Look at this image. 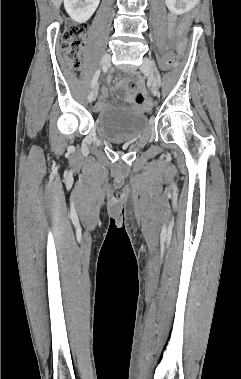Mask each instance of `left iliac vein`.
Segmentation results:
<instances>
[{
  "instance_id": "4c4485c4",
  "label": "left iliac vein",
  "mask_w": 241,
  "mask_h": 379,
  "mask_svg": "<svg viewBox=\"0 0 241 379\" xmlns=\"http://www.w3.org/2000/svg\"><path fill=\"white\" fill-rule=\"evenodd\" d=\"M153 67H154V62L151 59L146 58V57L143 58V63L140 67V70L144 74H146L147 76H149L151 78L153 94L157 95V93H158V81L154 75Z\"/></svg>"
}]
</instances>
